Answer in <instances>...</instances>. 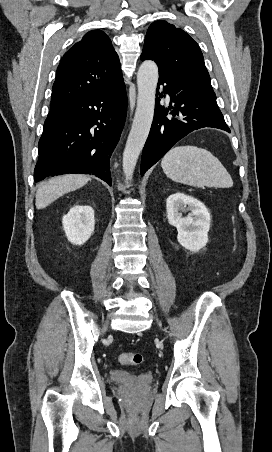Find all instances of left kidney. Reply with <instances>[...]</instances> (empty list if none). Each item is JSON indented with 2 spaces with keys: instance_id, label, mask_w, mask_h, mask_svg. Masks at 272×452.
<instances>
[{
  "instance_id": "left-kidney-1",
  "label": "left kidney",
  "mask_w": 272,
  "mask_h": 452,
  "mask_svg": "<svg viewBox=\"0 0 272 452\" xmlns=\"http://www.w3.org/2000/svg\"><path fill=\"white\" fill-rule=\"evenodd\" d=\"M166 209L169 224L177 228L181 246L193 252L206 246L211 217L201 201L177 192L167 198ZM188 210L190 213L183 217L182 213Z\"/></svg>"
}]
</instances>
